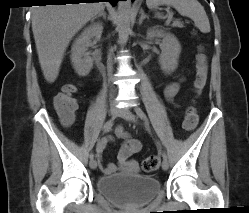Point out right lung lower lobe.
<instances>
[{
	"label": "right lung lower lobe",
	"instance_id": "98d812e1",
	"mask_svg": "<svg viewBox=\"0 0 249 213\" xmlns=\"http://www.w3.org/2000/svg\"><path fill=\"white\" fill-rule=\"evenodd\" d=\"M44 1L45 2L43 3H54V4L59 5V4H66V3H78L79 4V2L85 1V0H44ZM88 1H94V0H88ZM102 1L110 2L113 6H115L119 0H102Z\"/></svg>",
	"mask_w": 249,
	"mask_h": 213
}]
</instances>
